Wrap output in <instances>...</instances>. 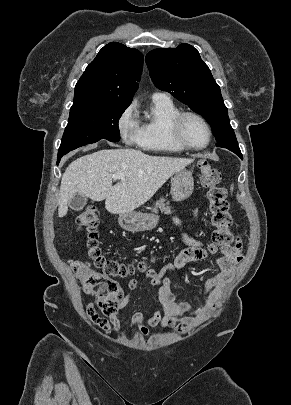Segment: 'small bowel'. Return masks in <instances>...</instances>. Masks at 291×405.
Returning <instances> with one entry per match:
<instances>
[{
  "label": "small bowel",
  "mask_w": 291,
  "mask_h": 405,
  "mask_svg": "<svg viewBox=\"0 0 291 405\" xmlns=\"http://www.w3.org/2000/svg\"><path fill=\"white\" fill-rule=\"evenodd\" d=\"M197 210L194 211L196 215ZM180 238L185 248L177 255L173 263L163 265L159 270H146L144 277L150 280L152 293L157 295L161 309L152 311L147 317L141 312H135L131 316V327L136 328L140 335L149 336L157 328L175 327L180 334H186L203 324L210 314L217 308L226 288L232 281L236 266L241 262L242 247L239 239L234 245L220 248L222 257L216 261L219 273L210 278L204 286L205 301L201 305H195L187 301H179L170 290V273L180 270L190 262L200 261L207 256L205 244L189 236L181 223ZM140 279L138 277L129 280V291L137 288ZM129 300V295L122 297L120 308H123ZM88 317L101 329L119 332L121 329L117 314L109 316V319L100 317L92 304L87 305Z\"/></svg>",
  "instance_id": "small-bowel-1"
}]
</instances>
